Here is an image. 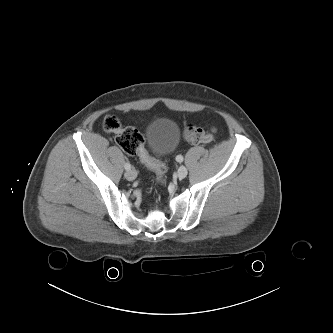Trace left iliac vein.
<instances>
[{
    "label": "left iliac vein",
    "mask_w": 333,
    "mask_h": 333,
    "mask_svg": "<svg viewBox=\"0 0 333 333\" xmlns=\"http://www.w3.org/2000/svg\"><path fill=\"white\" fill-rule=\"evenodd\" d=\"M177 174L180 179L185 178L188 174L187 168L185 166H180L178 168Z\"/></svg>",
    "instance_id": "left-iliac-vein-1"
}]
</instances>
